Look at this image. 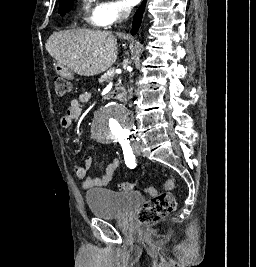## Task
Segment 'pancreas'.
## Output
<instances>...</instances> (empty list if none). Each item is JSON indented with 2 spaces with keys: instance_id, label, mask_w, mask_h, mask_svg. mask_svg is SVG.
I'll return each mask as SVG.
<instances>
[{
  "instance_id": "pancreas-1",
  "label": "pancreas",
  "mask_w": 256,
  "mask_h": 267,
  "mask_svg": "<svg viewBox=\"0 0 256 267\" xmlns=\"http://www.w3.org/2000/svg\"><path fill=\"white\" fill-rule=\"evenodd\" d=\"M113 78H114V74H112V76H102L101 82H111V80H113ZM111 94H117V96H115L114 100H117V98H119V96H122L121 100H123V96H125V88H123V86H120V88H116V90H113V92H111Z\"/></svg>"
}]
</instances>
